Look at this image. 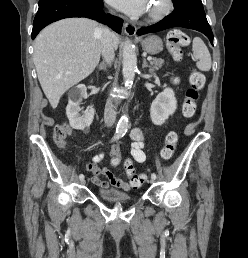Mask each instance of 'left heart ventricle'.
<instances>
[{
  "label": "left heart ventricle",
  "instance_id": "1",
  "mask_svg": "<svg viewBox=\"0 0 248 258\" xmlns=\"http://www.w3.org/2000/svg\"><path fill=\"white\" fill-rule=\"evenodd\" d=\"M160 3L161 0H154L149 7V12L156 9L160 5Z\"/></svg>",
  "mask_w": 248,
  "mask_h": 258
}]
</instances>
